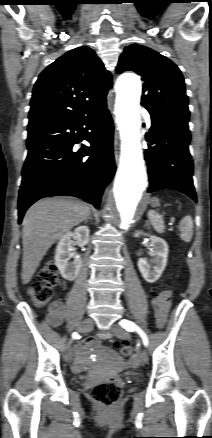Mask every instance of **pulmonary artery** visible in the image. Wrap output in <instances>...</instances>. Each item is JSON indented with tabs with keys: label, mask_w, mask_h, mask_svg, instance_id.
<instances>
[{
	"label": "pulmonary artery",
	"mask_w": 212,
	"mask_h": 438,
	"mask_svg": "<svg viewBox=\"0 0 212 438\" xmlns=\"http://www.w3.org/2000/svg\"><path fill=\"white\" fill-rule=\"evenodd\" d=\"M143 114H144V116H145V120H146V122H147V123H150V122H151L150 114H149L147 111H144Z\"/></svg>",
	"instance_id": "1"
}]
</instances>
